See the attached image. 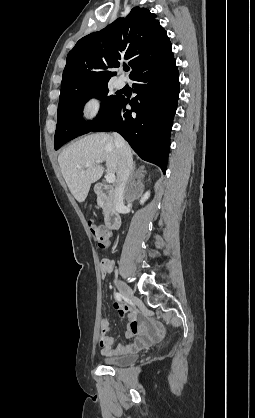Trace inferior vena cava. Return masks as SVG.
<instances>
[{"instance_id": "inferior-vena-cava-1", "label": "inferior vena cava", "mask_w": 255, "mask_h": 418, "mask_svg": "<svg viewBox=\"0 0 255 418\" xmlns=\"http://www.w3.org/2000/svg\"><path fill=\"white\" fill-rule=\"evenodd\" d=\"M114 140L119 153V171L115 187V206L118 211L124 205V190L133 169V160L131 149L123 137L118 133H114Z\"/></svg>"}]
</instances>
